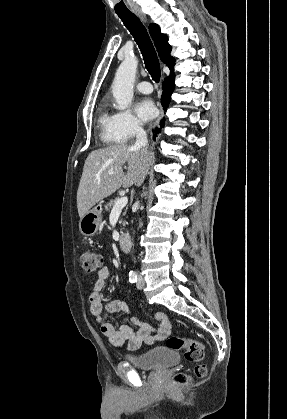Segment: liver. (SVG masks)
Instances as JSON below:
<instances>
[{"label": "liver", "mask_w": 287, "mask_h": 419, "mask_svg": "<svg viewBox=\"0 0 287 419\" xmlns=\"http://www.w3.org/2000/svg\"><path fill=\"white\" fill-rule=\"evenodd\" d=\"M125 163L128 164L126 174L123 171ZM150 164L151 154L147 150L130 145H111L89 153L77 191L80 219L121 186H140ZM109 171H113V174H109Z\"/></svg>", "instance_id": "6515ba94"}]
</instances>
